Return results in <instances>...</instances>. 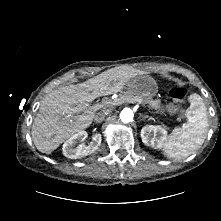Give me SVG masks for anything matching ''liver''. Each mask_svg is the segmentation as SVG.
I'll return each instance as SVG.
<instances>
[{"label": "liver", "mask_w": 221, "mask_h": 221, "mask_svg": "<svg viewBox=\"0 0 221 221\" xmlns=\"http://www.w3.org/2000/svg\"><path fill=\"white\" fill-rule=\"evenodd\" d=\"M133 70L112 68L76 85L58 88L41 101L31 130L36 148L51 154L66 139L88 128L101 104L90 105L100 96L121 91L134 76Z\"/></svg>", "instance_id": "liver-1"}]
</instances>
